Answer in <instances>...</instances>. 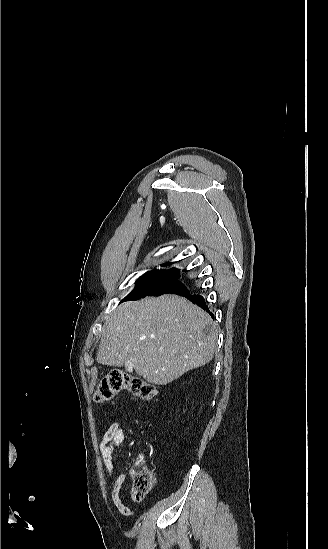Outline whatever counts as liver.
Wrapping results in <instances>:
<instances>
[{"mask_svg":"<svg viewBox=\"0 0 328 549\" xmlns=\"http://www.w3.org/2000/svg\"><path fill=\"white\" fill-rule=\"evenodd\" d=\"M210 315L183 297L163 295L119 305L103 325L97 363L122 367L167 385L210 363L217 343Z\"/></svg>","mask_w":328,"mask_h":549,"instance_id":"1","label":"liver"}]
</instances>
